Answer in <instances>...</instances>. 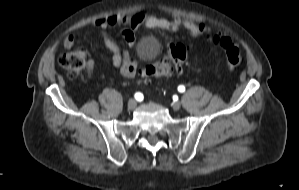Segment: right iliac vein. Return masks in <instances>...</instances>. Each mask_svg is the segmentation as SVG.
Masks as SVG:
<instances>
[{
    "mask_svg": "<svg viewBox=\"0 0 299 190\" xmlns=\"http://www.w3.org/2000/svg\"><path fill=\"white\" fill-rule=\"evenodd\" d=\"M127 106H128V108H129L130 110L135 109V107H136V101H135L134 99H130V100L128 101Z\"/></svg>",
    "mask_w": 299,
    "mask_h": 190,
    "instance_id": "right-iliac-vein-1",
    "label": "right iliac vein"
}]
</instances>
